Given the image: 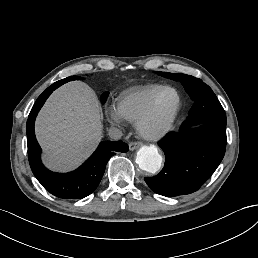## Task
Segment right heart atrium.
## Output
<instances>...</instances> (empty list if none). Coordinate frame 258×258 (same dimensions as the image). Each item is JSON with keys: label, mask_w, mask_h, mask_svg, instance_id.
<instances>
[{"label": "right heart atrium", "mask_w": 258, "mask_h": 258, "mask_svg": "<svg viewBox=\"0 0 258 258\" xmlns=\"http://www.w3.org/2000/svg\"><path fill=\"white\" fill-rule=\"evenodd\" d=\"M106 120L110 124L123 125L124 117L120 113L117 107H110L105 112Z\"/></svg>", "instance_id": "1"}]
</instances>
